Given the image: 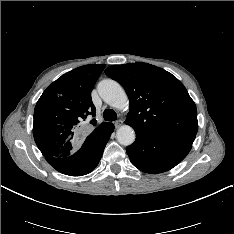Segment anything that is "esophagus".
<instances>
[{"label": "esophagus", "mask_w": 234, "mask_h": 234, "mask_svg": "<svg viewBox=\"0 0 234 234\" xmlns=\"http://www.w3.org/2000/svg\"><path fill=\"white\" fill-rule=\"evenodd\" d=\"M114 125H115V128H119V127H121V126L123 125V121H122V120H117V121L114 123Z\"/></svg>", "instance_id": "esophagus-1"}]
</instances>
